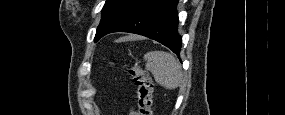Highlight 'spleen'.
<instances>
[{
	"label": "spleen",
	"mask_w": 285,
	"mask_h": 115,
	"mask_svg": "<svg viewBox=\"0 0 285 115\" xmlns=\"http://www.w3.org/2000/svg\"><path fill=\"white\" fill-rule=\"evenodd\" d=\"M144 59L146 69L152 73L159 85L169 90L180 86L181 64L172 54L165 51H151L144 55Z\"/></svg>",
	"instance_id": "3e777b00"
}]
</instances>
